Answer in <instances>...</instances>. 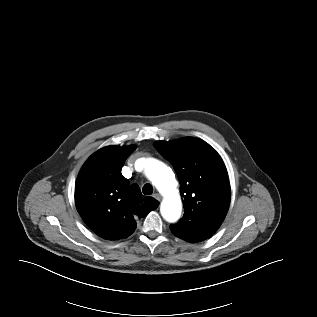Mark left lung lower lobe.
Listing matches in <instances>:
<instances>
[{"label":"left lung lower lobe","instance_id":"left-lung-lower-lobe-1","mask_svg":"<svg viewBox=\"0 0 317 317\" xmlns=\"http://www.w3.org/2000/svg\"><path fill=\"white\" fill-rule=\"evenodd\" d=\"M220 225V223L211 221H197L191 222L185 227L170 225V230L175 236L185 241L196 243L210 238Z\"/></svg>","mask_w":317,"mask_h":317}]
</instances>
